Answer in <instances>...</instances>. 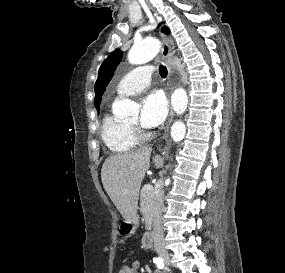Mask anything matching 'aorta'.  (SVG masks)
<instances>
[{
    "label": "aorta",
    "instance_id": "762f6f07",
    "mask_svg": "<svg viewBox=\"0 0 285 273\" xmlns=\"http://www.w3.org/2000/svg\"><path fill=\"white\" fill-rule=\"evenodd\" d=\"M160 50V42L155 38H148L133 45L128 53V61L139 65L152 60ZM171 104L174 111L182 114L188 105L187 93L183 88L176 89L171 96ZM113 114L118 118H127L138 114L139 107L129 99L115 101L112 105ZM186 133L185 124L175 122L171 127V137L175 142L183 140Z\"/></svg>",
    "mask_w": 285,
    "mask_h": 273
}]
</instances>
